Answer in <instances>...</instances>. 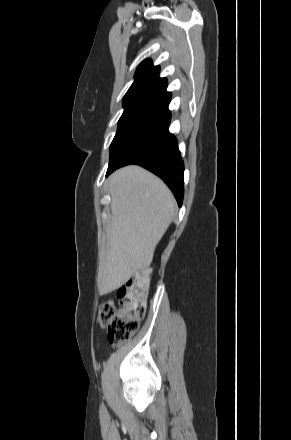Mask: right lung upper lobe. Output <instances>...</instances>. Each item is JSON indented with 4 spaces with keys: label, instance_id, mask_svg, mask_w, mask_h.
Listing matches in <instances>:
<instances>
[{
    "label": "right lung upper lobe",
    "instance_id": "obj_1",
    "mask_svg": "<svg viewBox=\"0 0 291 440\" xmlns=\"http://www.w3.org/2000/svg\"><path fill=\"white\" fill-rule=\"evenodd\" d=\"M159 71V66H153L151 60L142 62L136 71L134 83L123 98V103L154 101L166 93L167 80L159 77Z\"/></svg>",
    "mask_w": 291,
    "mask_h": 440
}]
</instances>
